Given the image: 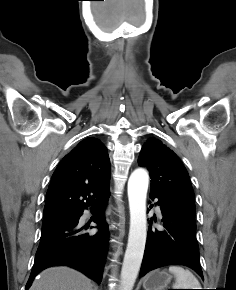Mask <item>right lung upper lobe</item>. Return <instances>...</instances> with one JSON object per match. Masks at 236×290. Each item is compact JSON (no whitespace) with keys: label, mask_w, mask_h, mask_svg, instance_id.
Wrapping results in <instances>:
<instances>
[{"label":"right lung upper lobe","mask_w":236,"mask_h":290,"mask_svg":"<svg viewBox=\"0 0 236 290\" xmlns=\"http://www.w3.org/2000/svg\"><path fill=\"white\" fill-rule=\"evenodd\" d=\"M107 148L95 138L80 142L56 168L47 191L44 218L77 215L109 192Z\"/></svg>","instance_id":"1"}]
</instances>
